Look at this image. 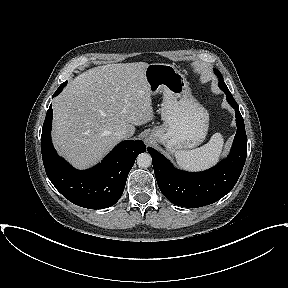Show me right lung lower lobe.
Here are the masks:
<instances>
[{"instance_id":"right-lung-lower-lobe-1","label":"right lung lower lobe","mask_w":288,"mask_h":288,"mask_svg":"<svg viewBox=\"0 0 288 288\" xmlns=\"http://www.w3.org/2000/svg\"><path fill=\"white\" fill-rule=\"evenodd\" d=\"M59 87L53 96L62 91ZM52 107L42 128L41 152L46 174L70 202L89 209L114 205L121 197L136 157L146 150L142 141H123L95 167L77 170L60 158L51 142Z\"/></svg>"}]
</instances>
